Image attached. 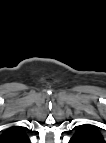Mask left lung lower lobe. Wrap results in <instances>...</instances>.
<instances>
[{"mask_svg": "<svg viewBox=\"0 0 106 143\" xmlns=\"http://www.w3.org/2000/svg\"><path fill=\"white\" fill-rule=\"evenodd\" d=\"M70 143H85L78 135H75L71 138Z\"/></svg>", "mask_w": 106, "mask_h": 143, "instance_id": "obj_1", "label": "left lung lower lobe"}]
</instances>
